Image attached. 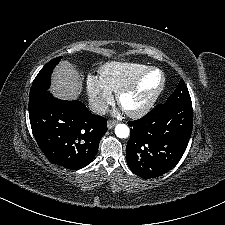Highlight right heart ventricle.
<instances>
[{"label": "right heart ventricle", "instance_id": "1", "mask_svg": "<svg viewBox=\"0 0 225 225\" xmlns=\"http://www.w3.org/2000/svg\"><path fill=\"white\" fill-rule=\"evenodd\" d=\"M146 65L136 62H107L100 67V78L113 92L118 93L122 88L130 84Z\"/></svg>", "mask_w": 225, "mask_h": 225}]
</instances>
